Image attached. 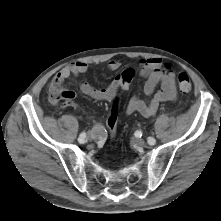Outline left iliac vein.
<instances>
[{"label": "left iliac vein", "instance_id": "left-iliac-vein-1", "mask_svg": "<svg viewBox=\"0 0 221 221\" xmlns=\"http://www.w3.org/2000/svg\"><path fill=\"white\" fill-rule=\"evenodd\" d=\"M153 142L156 143L155 138H153ZM134 143L138 146H144L145 145V140L142 138H135Z\"/></svg>", "mask_w": 221, "mask_h": 221}]
</instances>
